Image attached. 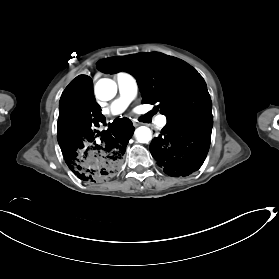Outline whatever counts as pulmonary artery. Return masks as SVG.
Returning a JSON list of instances; mask_svg holds the SVG:
<instances>
[{"instance_id":"obj_1","label":"pulmonary artery","mask_w":279,"mask_h":279,"mask_svg":"<svg viewBox=\"0 0 279 279\" xmlns=\"http://www.w3.org/2000/svg\"><path fill=\"white\" fill-rule=\"evenodd\" d=\"M114 80L117 84L119 95L103 108V113L106 115L121 113L136 96L137 84L132 76L119 72L114 75Z\"/></svg>"}]
</instances>
